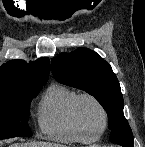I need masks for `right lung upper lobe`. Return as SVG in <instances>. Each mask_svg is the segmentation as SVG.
<instances>
[{
    "instance_id": "right-lung-upper-lobe-1",
    "label": "right lung upper lobe",
    "mask_w": 145,
    "mask_h": 147,
    "mask_svg": "<svg viewBox=\"0 0 145 147\" xmlns=\"http://www.w3.org/2000/svg\"><path fill=\"white\" fill-rule=\"evenodd\" d=\"M50 73L48 58L27 63L10 60L0 67V93L25 87L44 86Z\"/></svg>"
}]
</instances>
